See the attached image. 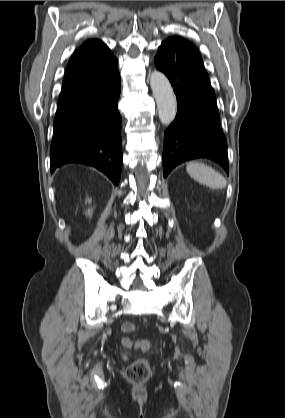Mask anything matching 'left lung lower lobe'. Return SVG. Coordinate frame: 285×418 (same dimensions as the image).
<instances>
[{
	"label": "left lung lower lobe",
	"instance_id": "obj_1",
	"mask_svg": "<svg viewBox=\"0 0 285 418\" xmlns=\"http://www.w3.org/2000/svg\"><path fill=\"white\" fill-rule=\"evenodd\" d=\"M154 62L177 95L175 120L164 133V177L178 164L195 158L214 160L228 173L226 137L200 53L190 41L173 36L161 44Z\"/></svg>",
	"mask_w": 285,
	"mask_h": 418
}]
</instances>
